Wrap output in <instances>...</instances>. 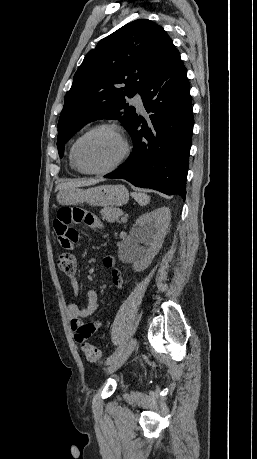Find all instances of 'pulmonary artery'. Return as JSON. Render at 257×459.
I'll return each mask as SVG.
<instances>
[{
    "instance_id": "obj_1",
    "label": "pulmonary artery",
    "mask_w": 257,
    "mask_h": 459,
    "mask_svg": "<svg viewBox=\"0 0 257 459\" xmlns=\"http://www.w3.org/2000/svg\"><path fill=\"white\" fill-rule=\"evenodd\" d=\"M132 103L138 108V109H143L144 106H143V101H142V97L140 94H136L133 98H132Z\"/></svg>"
}]
</instances>
